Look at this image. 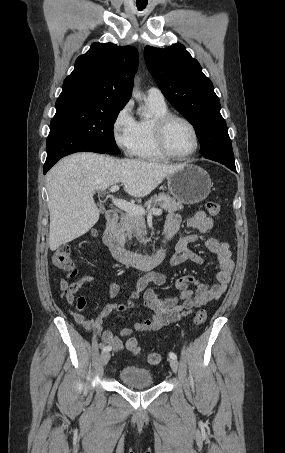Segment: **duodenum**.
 <instances>
[{"mask_svg": "<svg viewBox=\"0 0 285 453\" xmlns=\"http://www.w3.org/2000/svg\"><path fill=\"white\" fill-rule=\"evenodd\" d=\"M118 213L115 210H108L105 214V226L102 233V240L109 248L112 255L121 263L133 264L142 269H151L159 265L166 257L167 244L163 241L160 248L150 254L144 255L127 249L121 242L118 231Z\"/></svg>", "mask_w": 285, "mask_h": 453, "instance_id": "1", "label": "duodenum"}]
</instances>
